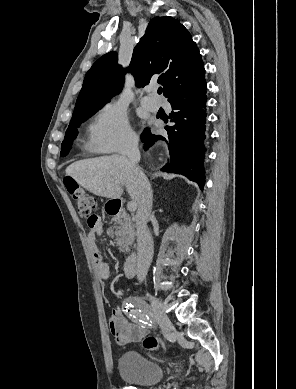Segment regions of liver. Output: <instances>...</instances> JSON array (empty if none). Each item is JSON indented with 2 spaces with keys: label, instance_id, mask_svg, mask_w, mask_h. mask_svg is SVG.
<instances>
[{
  "label": "liver",
  "instance_id": "1",
  "mask_svg": "<svg viewBox=\"0 0 296 389\" xmlns=\"http://www.w3.org/2000/svg\"><path fill=\"white\" fill-rule=\"evenodd\" d=\"M72 177L89 192L116 199L121 197L123 187L132 201L139 203V185L128 158L122 155L103 156L76 161L66 168Z\"/></svg>",
  "mask_w": 296,
  "mask_h": 389
}]
</instances>
